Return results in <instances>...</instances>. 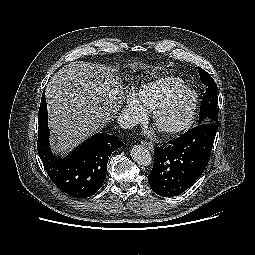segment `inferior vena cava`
Listing matches in <instances>:
<instances>
[{"instance_id": "1", "label": "inferior vena cava", "mask_w": 255, "mask_h": 255, "mask_svg": "<svg viewBox=\"0 0 255 255\" xmlns=\"http://www.w3.org/2000/svg\"><path fill=\"white\" fill-rule=\"evenodd\" d=\"M117 119L119 126L123 129H130L136 125V121L127 112H121Z\"/></svg>"}]
</instances>
